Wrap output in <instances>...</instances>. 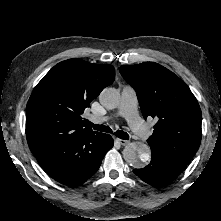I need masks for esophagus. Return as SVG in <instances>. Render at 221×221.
Returning a JSON list of instances; mask_svg holds the SVG:
<instances>
[{
    "instance_id": "34e87169",
    "label": "esophagus",
    "mask_w": 221,
    "mask_h": 221,
    "mask_svg": "<svg viewBox=\"0 0 221 221\" xmlns=\"http://www.w3.org/2000/svg\"><path fill=\"white\" fill-rule=\"evenodd\" d=\"M116 141H117L120 145H123V146H125V145H127V144L129 143L128 140H123V139H119V138H117Z\"/></svg>"
}]
</instances>
